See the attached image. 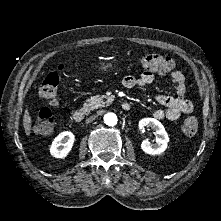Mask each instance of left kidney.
Listing matches in <instances>:
<instances>
[{"label": "left kidney", "instance_id": "1", "mask_svg": "<svg viewBox=\"0 0 221 221\" xmlns=\"http://www.w3.org/2000/svg\"><path fill=\"white\" fill-rule=\"evenodd\" d=\"M145 127H151L158 137L154 144H151L148 140H143L141 149L149 155H158L164 152L167 148L169 137L162 123L154 118H144L139 121V128L144 130Z\"/></svg>", "mask_w": 221, "mask_h": 221}]
</instances>
